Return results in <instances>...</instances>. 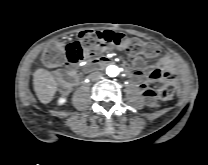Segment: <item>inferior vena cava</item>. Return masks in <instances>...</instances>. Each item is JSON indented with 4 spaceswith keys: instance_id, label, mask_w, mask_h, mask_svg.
Wrapping results in <instances>:
<instances>
[{
    "instance_id": "1",
    "label": "inferior vena cava",
    "mask_w": 208,
    "mask_h": 165,
    "mask_svg": "<svg viewBox=\"0 0 208 165\" xmlns=\"http://www.w3.org/2000/svg\"><path fill=\"white\" fill-rule=\"evenodd\" d=\"M102 76H103V74L100 72H93L89 75L90 79L93 81H97V80L101 79Z\"/></svg>"
}]
</instances>
